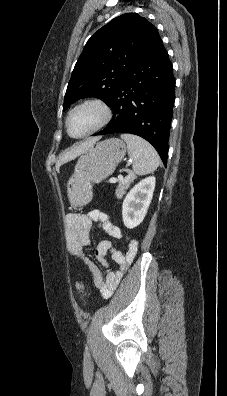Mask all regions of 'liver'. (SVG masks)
Masks as SVG:
<instances>
[{
  "label": "liver",
  "instance_id": "liver-1",
  "mask_svg": "<svg viewBox=\"0 0 227 396\" xmlns=\"http://www.w3.org/2000/svg\"><path fill=\"white\" fill-rule=\"evenodd\" d=\"M97 141V138H93L91 140H87L83 143H81L80 145L74 147L73 149H71L70 151L66 152L56 163V168L59 169V167L68 162L71 161L73 159H75L76 157H78L79 155H81L82 153H84L85 151H87L95 142Z\"/></svg>",
  "mask_w": 227,
  "mask_h": 396
}]
</instances>
